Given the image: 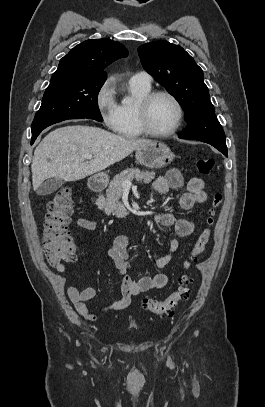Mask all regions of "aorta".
<instances>
[{"mask_svg":"<svg viewBox=\"0 0 265 407\" xmlns=\"http://www.w3.org/2000/svg\"><path fill=\"white\" fill-rule=\"evenodd\" d=\"M128 101H129L128 99L125 100V102H128Z\"/></svg>","mask_w":265,"mask_h":407,"instance_id":"762f6f07","label":"aorta"}]
</instances>
